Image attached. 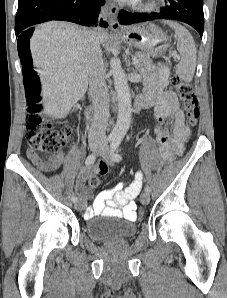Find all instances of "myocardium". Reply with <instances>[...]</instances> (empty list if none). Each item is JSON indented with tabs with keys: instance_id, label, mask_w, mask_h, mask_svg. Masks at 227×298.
Segmentation results:
<instances>
[{
	"instance_id": "obj_1",
	"label": "myocardium",
	"mask_w": 227,
	"mask_h": 298,
	"mask_svg": "<svg viewBox=\"0 0 227 298\" xmlns=\"http://www.w3.org/2000/svg\"><path fill=\"white\" fill-rule=\"evenodd\" d=\"M159 0H137L134 2L135 7L141 11H152L157 8Z\"/></svg>"
}]
</instances>
